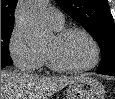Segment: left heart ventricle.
Returning a JSON list of instances; mask_svg holds the SVG:
<instances>
[{"instance_id":"obj_1","label":"left heart ventricle","mask_w":115,"mask_h":99,"mask_svg":"<svg viewBox=\"0 0 115 99\" xmlns=\"http://www.w3.org/2000/svg\"><path fill=\"white\" fill-rule=\"evenodd\" d=\"M45 52L50 53L57 63L71 67L87 65L93 58L89 40L80 33H72L61 40L53 36Z\"/></svg>"}]
</instances>
